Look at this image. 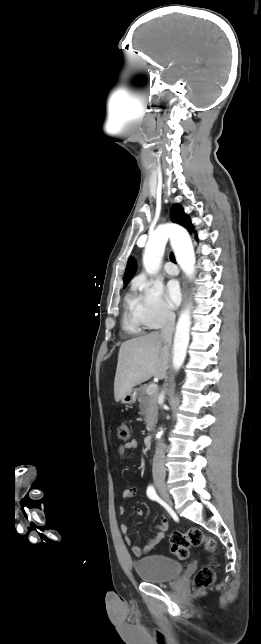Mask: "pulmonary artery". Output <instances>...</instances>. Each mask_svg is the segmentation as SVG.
Instances as JSON below:
<instances>
[{"instance_id": "e3ab8cb5", "label": "pulmonary artery", "mask_w": 261, "mask_h": 644, "mask_svg": "<svg viewBox=\"0 0 261 644\" xmlns=\"http://www.w3.org/2000/svg\"><path fill=\"white\" fill-rule=\"evenodd\" d=\"M164 269L167 274L172 276L177 275L179 272L178 267L171 262H167L164 266Z\"/></svg>"}]
</instances>
